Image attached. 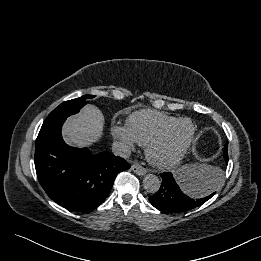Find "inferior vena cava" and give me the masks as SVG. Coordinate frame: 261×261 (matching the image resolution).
I'll return each instance as SVG.
<instances>
[{"label":"inferior vena cava","mask_w":261,"mask_h":261,"mask_svg":"<svg viewBox=\"0 0 261 261\" xmlns=\"http://www.w3.org/2000/svg\"><path fill=\"white\" fill-rule=\"evenodd\" d=\"M112 152L116 156H120L122 158H129L131 155L130 148L121 141H114L112 144Z\"/></svg>","instance_id":"obj_1"}]
</instances>
